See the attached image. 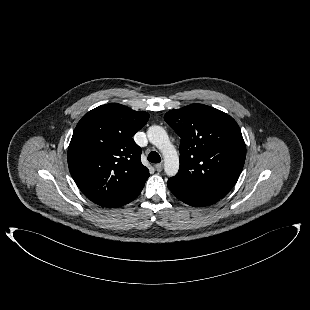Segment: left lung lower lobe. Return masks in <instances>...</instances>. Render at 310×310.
<instances>
[{"instance_id":"1","label":"left lung lower lobe","mask_w":310,"mask_h":310,"mask_svg":"<svg viewBox=\"0 0 310 310\" xmlns=\"http://www.w3.org/2000/svg\"><path fill=\"white\" fill-rule=\"evenodd\" d=\"M167 186L169 190L181 201L189 204L191 206L203 207L209 206L217 202L220 198L204 195L201 193H196L193 191H189L184 189L175 183L168 180Z\"/></svg>"}]
</instances>
